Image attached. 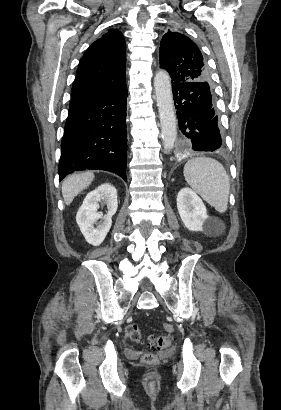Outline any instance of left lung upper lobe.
Instances as JSON below:
<instances>
[{
  "label": "left lung upper lobe",
  "mask_w": 281,
  "mask_h": 410,
  "mask_svg": "<svg viewBox=\"0 0 281 410\" xmlns=\"http://www.w3.org/2000/svg\"><path fill=\"white\" fill-rule=\"evenodd\" d=\"M160 67L172 82H210V74L197 45L184 34L168 30L160 49Z\"/></svg>",
  "instance_id": "1"
}]
</instances>
